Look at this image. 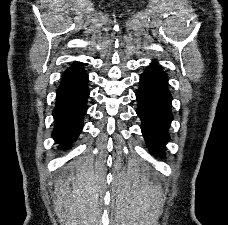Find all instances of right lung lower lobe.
I'll return each mask as SVG.
<instances>
[{
    "label": "right lung lower lobe",
    "instance_id": "98d812e1",
    "mask_svg": "<svg viewBox=\"0 0 228 225\" xmlns=\"http://www.w3.org/2000/svg\"><path fill=\"white\" fill-rule=\"evenodd\" d=\"M75 62L68 68L57 89L56 106L53 110L54 130L52 136L56 143L65 148L74 142L83 127V116L87 110L88 75Z\"/></svg>",
    "mask_w": 228,
    "mask_h": 225
}]
</instances>
